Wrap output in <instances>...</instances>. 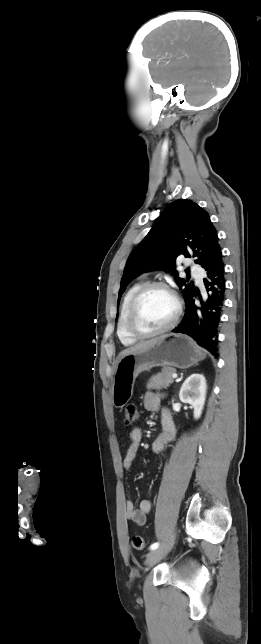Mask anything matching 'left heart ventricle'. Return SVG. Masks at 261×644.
Masks as SVG:
<instances>
[{
  "label": "left heart ventricle",
  "instance_id": "1",
  "mask_svg": "<svg viewBox=\"0 0 261 644\" xmlns=\"http://www.w3.org/2000/svg\"><path fill=\"white\" fill-rule=\"evenodd\" d=\"M175 313L173 297L161 288L148 291L141 299L135 318L136 328L152 332L166 326Z\"/></svg>",
  "mask_w": 261,
  "mask_h": 644
}]
</instances>
